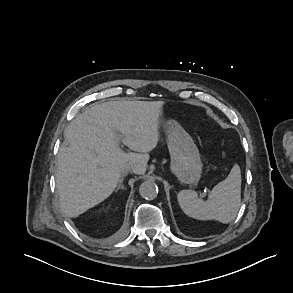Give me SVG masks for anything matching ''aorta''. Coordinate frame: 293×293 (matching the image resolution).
<instances>
[{"instance_id":"762f6f07","label":"aorta","mask_w":293,"mask_h":293,"mask_svg":"<svg viewBox=\"0 0 293 293\" xmlns=\"http://www.w3.org/2000/svg\"><path fill=\"white\" fill-rule=\"evenodd\" d=\"M139 193L143 198L152 200L158 194V187L155 182L147 180L140 185Z\"/></svg>"}]
</instances>
